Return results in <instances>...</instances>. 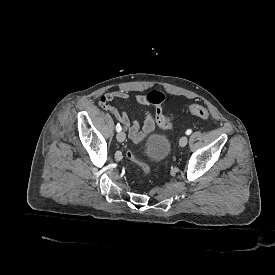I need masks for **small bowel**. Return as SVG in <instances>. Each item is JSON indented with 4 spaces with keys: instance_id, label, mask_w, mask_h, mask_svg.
I'll list each match as a JSON object with an SVG mask.
<instances>
[{
    "instance_id": "obj_1",
    "label": "small bowel",
    "mask_w": 275,
    "mask_h": 275,
    "mask_svg": "<svg viewBox=\"0 0 275 275\" xmlns=\"http://www.w3.org/2000/svg\"><path fill=\"white\" fill-rule=\"evenodd\" d=\"M129 97V92L126 90H114L100 96L98 106L111 113L122 125L128 128V137L131 141L140 142L153 131L154 117L150 111L145 110L143 113V125L141 126L139 121H131L126 112L119 110L112 104L116 100L126 101ZM135 101L142 108H147L150 104L146 95L141 93L135 95Z\"/></svg>"
}]
</instances>
